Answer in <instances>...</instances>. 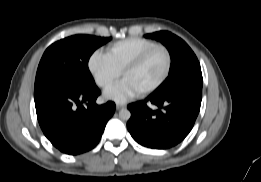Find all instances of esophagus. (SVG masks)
I'll return each instance as SVG.
<instances>
[{"label": "esophagus", "instance_id": "34e87169", "mask_svg": "<svg viewBox=\"0 0 261 182\" xmlns=\"http://www.w3.org/2000/svg\"><path fill=\"white\" fill-rule=\"evenodd\" d=\"M125 107H126L125 104H120V103L116 104V110H121V109H123Z\"/></svg>", "mask_w": 261, "mask_h": 182}]
</instances>
